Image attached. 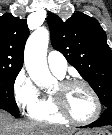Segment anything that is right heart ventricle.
Listing matches in <instances>:
<instances>
[{"label": "right heart ventricle", "mask_w": 112, "mask_h": 135, "mask_svg": "<svg viewBox=\"0 0 112 135\" xmlns=\"http://www.w3.org/2000/svg\"><path fill=\"white\" fill-rule=\"evenodd\" d=\"M29 115L34 120L50 124H62L65 122V119L55 109L50 95H45L41 105Z\"/></svg>", "instance_id": "right-heart-ventricle-1"}]
</instances>
